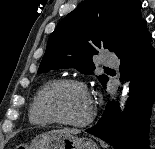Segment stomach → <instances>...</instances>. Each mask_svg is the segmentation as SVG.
<instances>
[{
	"label": "stomach",
	"instance_id": "0dacf381",
	"mask_svg": "<svg viewBox=\"0 0 155 149\" xmlns=\"http://www.w3.org/2000/svg\"><path fill=\"white\" fill-rule=\"evenodd\" d=\"M20 149H98L97 144L88 138L73 134L47 132L36 136L30 146L20 145Z\"/></svg>",
	"mask_w": 155,
	"mask_h": 149
}]
</instances>
